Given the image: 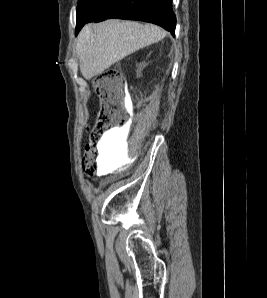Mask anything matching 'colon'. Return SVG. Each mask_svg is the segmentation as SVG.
I'll return each instance as SVG.
<instances>
[{"label": "colon", "mask_w": 267, "mask_h": 298, "mask_svg": "<svg viewBox=\"0 0 267 298\" xmlns=\"http://www.w3.org/2000/svg\"><path fill=\"white\" fill-rule=\"evenodd\" d=\"M123 84L121 73L114 69L105 71L94 82L100 108L96 121L90 129L89 143L82 159V170L87 176H93L97 172V158L107 133L126 122L123 112Z\"/></svg>", "instance_id": "1"}]
</instances>
